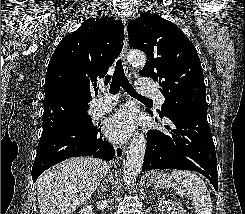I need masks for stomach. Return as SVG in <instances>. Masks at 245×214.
<instances>
[{"label": "stomach", "mask_w": 245, "mask_h": 214, "mask_svg": "<svg viewBox=\"0 0 245 214\" xmlns=\"http://www.w3.org/2000/svg\"><path fill=\"white\" fill-rule=\"evenodd\" d=\"M150 182L156 188H169L173 184L172 177L169 174L163 172H153L150 177Z\"/></svg>", "instance_id": "stomach-1"}]
</instances>
